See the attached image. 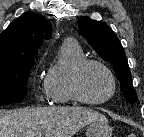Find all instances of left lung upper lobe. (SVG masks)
<instances>
[{"label":"left lung upper lobe","instance_id":"1","mask_svg":"<svg viewBox=\"0 0 144 137\" xmlns=\"http://www.w3.org/2000/svg\"><path fill=\"white\" fill-rule=\"evenodd\" d=\"M81 35L104 60L110 62L121 83V91L129 103L137 101L125 51L115 33L104 22L82 17L78 20Z\"/></svg>","mask_w":144,"mask_h":137}]
</instances>
